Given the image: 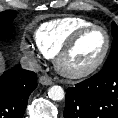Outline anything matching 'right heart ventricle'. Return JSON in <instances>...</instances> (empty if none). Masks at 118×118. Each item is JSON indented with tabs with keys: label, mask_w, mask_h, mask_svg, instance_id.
I'll return each instance as SVG.
<instances>
[{
	"label": "right heart ventricle",
	"mask_w": 118,
	"mask_h": 118,
	"mask_svg": "<svg viewBox=\"0 0 118 118\" xmlns=\"http://www.w3.org/2000/svg\"><path fill=\"white\" fill-rule=\"evenodd\" d=\"M83 17H65L42 24L35 32V43L46 58H54L66 41L80 28L92 25Z\"/></svg>",
	"instance_id": "1"
}]
</instances>
